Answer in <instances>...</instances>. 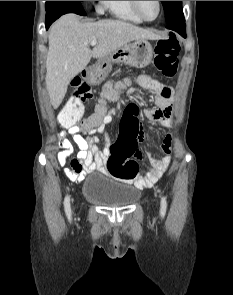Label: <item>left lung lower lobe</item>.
I'll use <instances>...</instances> for the list:
<instances>
[{
	"label": "left lung lower lobe",
	"mask_w": 233,
	"mask_h": 295,
	"mask_svg": "<svg viewBox=\"0 0 233 295\" xmlns=\"http://www.w3.org/2000/svg\"><path fill=\"white\" fill-rule=\"evenodd\" d=\"M166 28L178 32L184 38L186 37V25H185V20L184 19H181L180 21H176V22H173L171 24H168L166 26Z\"/></svg>",
	"instance_id": "0a47b994"
}]
</instances>
